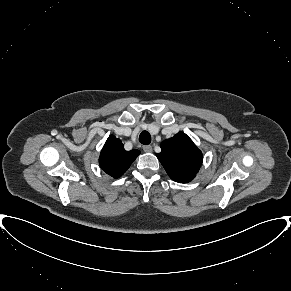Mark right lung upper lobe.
Here are the masks:
<instances>
[{
    "label": "right lung upper lobe",
    "mask_w": 291,
    "mask_h": 291,
    "mask_svg": "<svg viewBox=\"0 0 291 291\" xmlns=\"http://www.w3.org/2000/svg\"><path fill=\"white\" fill-rule=\"evenodd\" d=\"M140 154L139 150L126 151L120 139L110 135L102 148L99 164L108 175L118 178Z\"/></svg>",
    "instance_id": "1"
}]
</instances>
